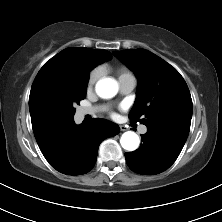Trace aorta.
Segmentation results:
<instances>
[{
	"mask_svg": "<svg viewBox=\"0 0 222 222\" xmlns=\"http://www.w3.org/2000/svg\"><path fill=\"white\" fill-rule=\"evenodd\" d=\"M97 95L101 98L108 99L114 97L118 92V84L112 79H100L95 86ZM121 146L127 151H134L138 148L139 136L133 131H127L122 134L120 139Z\"/></svg>",
	"mask_w": 222,
	"mask_h": 222,
	"instance_id": "aorta-1",
	"label": "aorta"
}]
</instances>
